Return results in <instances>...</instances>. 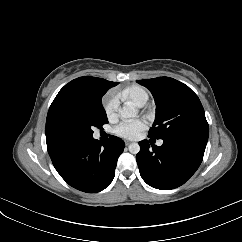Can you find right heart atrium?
I'll return each mask as SVG.
<instances>
[{
  "label": "right heart atrium",
  "instance_id": "d8ad5b80",
  "mask_svg": "<svg viewBox=\"0 0 242 242\" xmlns=\"http://www.w3.org/2000/svg\"><path fill=\"white\" fill-rule=\"evenodd\" d=\"M118 106L119 100L115 94L109 93L105 96L103 107L108 119H114L117 116Z\"/></svg>",
  "mask_w": 242,
  "mask_h": 242
}]
</instances>
